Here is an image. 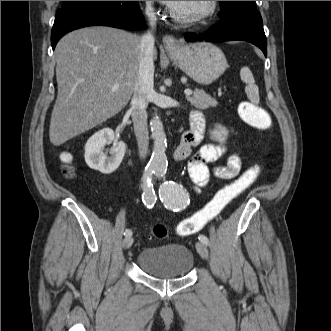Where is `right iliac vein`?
I'll use <instances>...</instances> for the list:
<instances>
[{"mask_svg": "<svg viewBox=\"0 0 331 331\" xmlns=\"http://www.w3.org/2000/svg\"><path fill=\"white\" fill-rule=\"evenodd\" d=\"M133 244V238L131 236H127L122 243V246L124 249H128L131 247V245Z\"/></svg>", "mask_w": 331, "mask_h": 331, "instance_id": "63e3f726", "label": "right iliac vein"}]
</instances>
